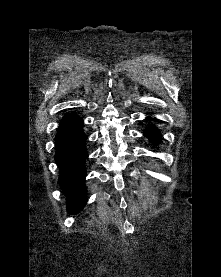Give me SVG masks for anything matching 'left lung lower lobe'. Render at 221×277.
I'll return each instance as SVG.
<instances>
[{
    "instance_id": "1",
    "label": "left lung lower lobe",
    "mask_w": 221,
    "mask_h": 277,
    "mask_svg": "<svg viewBox=\"0 0 221 277\" xmlns=\"http://www.w3.org/2000/svg\"><path fill=\"white\" fill-rule=\"evenodd\" d=\"M144 135L154 144H158L160 141V132L155 127H148L144 131Z\"/></svg>"
}]
</instances>
